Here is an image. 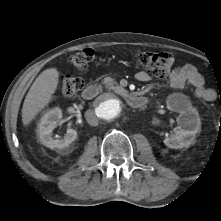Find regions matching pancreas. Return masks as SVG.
<instances>
[{
  "mask_svg": "<svg viewBox=\"0 0 221 221\" xmlns=\"http://www.w3.org/2000/svg\"><path fill=\"white\" fill-rule=\"evenodd\" d=\"M103 83L106 85V87L113 89V88H121L118 86L117 82H115L113 79L110 77H107L103 80Z\"/></svg>",
  "mask_w": 221,
  "mask_h": 221,
  "instance_id": "obj_1",
  "label": "pancreas"
}]
</instances>
